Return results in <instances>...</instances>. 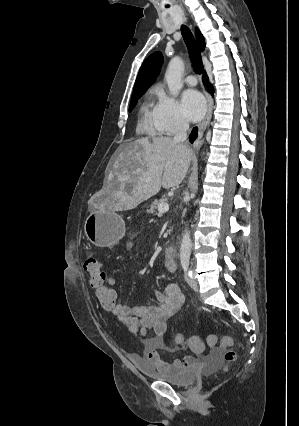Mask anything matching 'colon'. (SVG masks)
Wrapping results in <instances>:
<instances>
[{"mask_svg":"<svg viewBox=\"0 0 299 426\" xmlns=\"http://www.w3.org/2000/svg\"><path fill=\"white\" fill-rule=\"evenodd\" d=\"M84 269L89 274V285L94 291L96 300L101 307L111 310L117 304L118 296L114 288L108 284L106 273L102 270L99 260L92 255H88L84 262ZM207 342L210 346H219L224 349V361L227 364L235 361L236 352L232 348L233 340L231 337L217 338L215 335H210ZM173 344L175 346L187 345L196 353H200L203 350V342L198 336H192L186 340L182 333H177L173 338Z\"/></svg>","mask_w":299,"mask_h":426,"instance_id":"obj_1","label":"colon"}]
</instances>
